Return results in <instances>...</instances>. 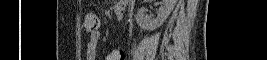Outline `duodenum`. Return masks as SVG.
Listing matches in <instances>:
<instances>
[{
	"label": "duodenum",
	"instance_id": "410a0bca",
	"mask_svg": "<svg viewBox=\"0 0 267 60\" xmlns=\"http://www.w3.org/2000/svg\"><path fill=\"white\" fill-rule=\"evenodd\" d=\"M124 11H125V9H124L123 6H117V7L115 8L116 17H117L118 19H122L123 16H124Z\"/></svg>",
	"mask_w": 267,
	"mask_h": 60
}]
</instances>
